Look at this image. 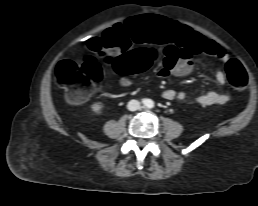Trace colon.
Segmentation results:
<instances>
[{
	"instance_id": "colon-1",
	"label": "colon",
	"mask_w": 258,
	"mask_h": 206,
	"mask_svg": "<svg viewBox=\"0 0 258 206\" xmlns=\"http://www.w3.org/2000/svg\"><path fill=\"white\" fill-rule=\"evenodd\" d=\"M92 45L95 46L96 54L87 55L82 63L64 60L56 68V81L65 89L66 99L72 104L86 101L102 83L104 76L99 58H104L106 64L113 65L122 74L142 73L151 66L155 58V52L147 49L113 58L105 55L100 41L95 40ZM225 73L232 87L237 90L246 88L247 73L238 60L229 59L225 64Z\"/></svg>"
}]
</instances>
